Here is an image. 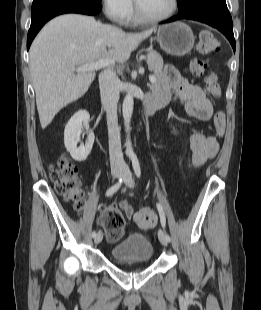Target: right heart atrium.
Masks as SVG:
<instances>
[{"instance_id":"right-heart-atrium-1","label":"right heart atrium","mask_w":261,"mask_h":310,"mask_svg":"<svg viewBox=\"0 0 261 310\" xmlns=\"http://www.w3.org/2000/svg\"><path fill=\"white\" fill-rule=\"evenodd\" d=\"M101 6L109 19L117 23H127L133 13L131 0H101Z\"/></svg>"}]
</instances>
